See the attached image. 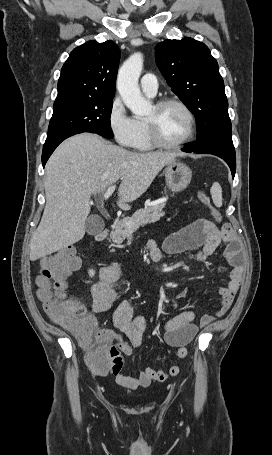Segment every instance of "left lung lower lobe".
<instances>
[{
  "instance_id": "1",
  "label": "left lung lower lobe",
  "mask_w": 272,
  "mask_h": 455,
  "mask_svg": "<svg viewBox=\"0 0 272 455\" xmlns=\"http://www.w3.org/2000/svg\"><path fill=\"white\" fill-rule=\"evenodd\" d=\"M184 152L213 154L222 158L230 167L232 177L236 171V155L232 142L231 127L216 130L206 136L197 139L190 146L182 149Z\"/></svg>"
}]
</instances>
